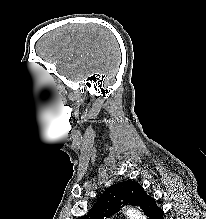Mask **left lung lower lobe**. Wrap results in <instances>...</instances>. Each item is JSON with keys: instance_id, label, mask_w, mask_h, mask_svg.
<instances>
[{"instance_id": "obj_1", "label": "left lung lower lobe", "mask_w": 206, "mask_h": 219, "mask_svg": "<svg viewBox=\"0 0 206 219\" xmlns=\"http://www.w3.org/2000/svg\"><path fill=\"white\" fill-rule=\"evenodd\" d=\"M163 213V210L156 205L155 199H152L150 209L147 213L149 219H163Z\"/></svg>"}]
</instances>
